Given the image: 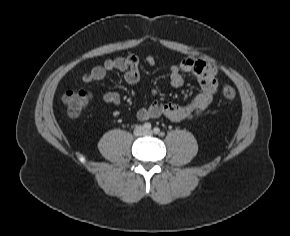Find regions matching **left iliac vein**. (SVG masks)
Listing matches in <instances>:
<instances>
[{
    "label": "left iliac vein",
    "instance_id": "left-iliac-vein-1",
    "mask_svg": "<svg viewBox=\"0 0 290 236\" xmlns=\"http://www.w3.org/2000/svg\"><path fill=\"white\" fill-rule=\"evenodd\" d=\"M146 133H147L148 135H151V134H152V131L149 130V131H147Z\"/></svg>",
    "mask_w": 290,
    "mask_h": 236
}]
</instances>
